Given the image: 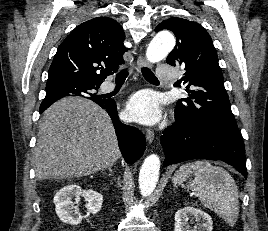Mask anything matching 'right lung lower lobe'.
Masks as SVG:
<instances>
[{"mask_svg":"<svg viewBox=\"0 0 268 231\" xmlns=\"http://www.w3.org/2000/svg\"><path fill=\"white\" fill-rule=\"evenodd\" d=\"M92 100L105 109L110 115L118 138L120 151L125 161L129 164H133L145 151L146 142L144 135L139 129L121 123L117 116L114 100H102L101 98ZM42 112L43 111H40V113Z\"/></svg>","mask_w":268,"mask_h":231,"instance_id":"right-lung-lower-lobe-1","label":"right lung lower lobe"}]
</instances>
